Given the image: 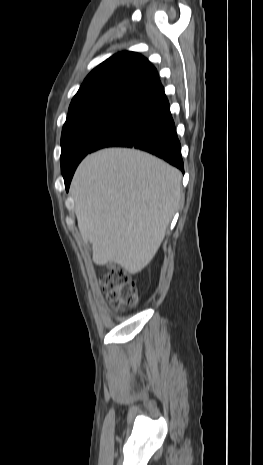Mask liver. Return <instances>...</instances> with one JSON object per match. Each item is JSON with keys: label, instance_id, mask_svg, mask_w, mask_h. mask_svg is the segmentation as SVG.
Listing matches in <instances>:
<instances>
[{"label": "liver", "instance_id": "6515ba94", "mask_svg": "<svg viewBox=\"0 0 263 465\" xmlns=\"http://www.w3.org/2000/svg\"><path fill=\"white\" fill-rule=\"evenodd\" d=\"M181 172L148 153L103 149L78 166L70 187L78 228L97 265L145 268L181 198Z\"/></svg>", "mask_w": 263, "mask_h": 465}]
</instances>
